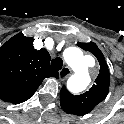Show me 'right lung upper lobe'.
<instances>
[{
    "instance_id": "cb5924a9",
    "label": "right lung upper lobe",
    "mask_w": 124,
    "mask_h": 124,
    "mask_svg": "<svg viewBox=\"0 0 124 124\" xmlns=\"http://www.w3.org/2000/svg\"><path fill=\"white\" fill-rule=\"evenodd\" d=\"M59 78L47 50H36L33 38L16 34L0 48V99L13 104L28 100L45 78Z\"/></svg>"
}]
</instances>
